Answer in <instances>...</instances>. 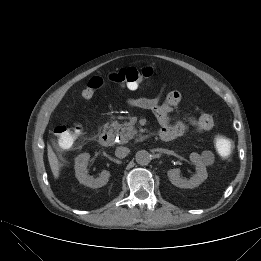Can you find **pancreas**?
Segmentation results:
<instances>
[{
	"instance_id": "obj_1",
	"label": "pancreas",
	"mask_w": 261,
	"mask_h": 261,
	"mask_svg": "<svg viewBox=\"0 0 261 261\" xmlns=\"http://www.w3.org/2000/svg\"><path fill=\"white\" fill-rule=\"evenodd\" d=\"M111 127L115 130L116 134L120 136V143L122 144L127 143L136 133L134 126L129 122H124L123 124L113 122L111 123Z\"/></svg>"
}]
</instances>
